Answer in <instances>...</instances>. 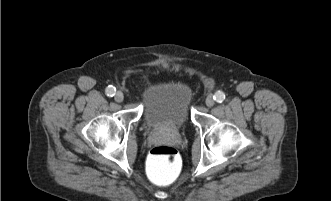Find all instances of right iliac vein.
Listing matches in <instances>:
<instances>
[{
	"label": "right iliac vein",
	"instance_id": "1",
	"mask_svg": "<svg viewBox=\"0 0 331 201\" xmlns=\"http://www.w3.org/2000/svg\"><path fill=\"white\" fill-rule=\"evenodd\" d=\"M114 98L116 102H122L124 99V95L121 91H117Z\"/></svg>",
	"mask_w": 331,
	"mask_h": 201
}]
</instances>
